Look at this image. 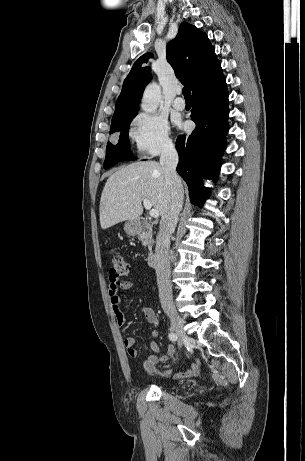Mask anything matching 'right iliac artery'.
Masks as SVG:
<instances>
[{"label": "right iliac artery", "mask_w": 305, "mask_h": 461, "mask_svg": "<svg viewBox=\"0 0 305 461\" xmlns=\"http://www.w3.org/2000/svg\"><path fill=\"white\" fill-rule=\"evenodd\" d=\"M169 339H170L171 341H176V340L178 339L177 334L171 332V333L169 334Z\"/></svg>", "instance_id": "obj_1"}]
</instances>
